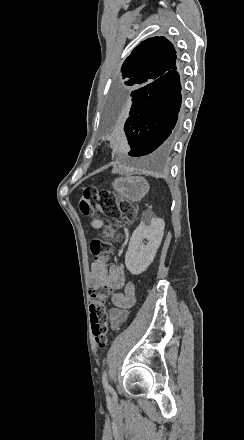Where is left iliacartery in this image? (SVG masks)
Masks as SVG:
<instances>
[{"label":"left iliac artery","mask_w":244,"mask_h":440,"mask_svg":"<svg viewBox=\"0 0 244 440\" xmlns=\"http://www.w3.org/2000/svg\"><path fill=\"white\" fill-rule=\"evenodd\" d=\"M102 384H103V387L106 391L110 389V385L108 384V380H107L106 370L103 372V375H102Z\"/></svg>","instance_id":"44dca946"}]
</instances>
